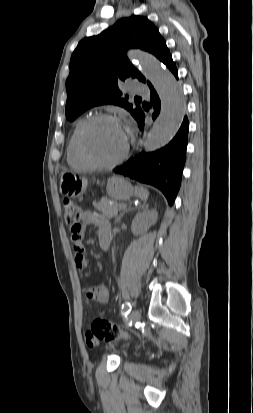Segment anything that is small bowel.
I'll return each instance as SVG.
<instances>
[{
  "label": "small bowel",
  "mask_w": 253,
  "mask_h": 413,
  "mask_svg": "<svg viewBox=\"0 0 253 413\" xmlns=\"http://www.w3.org/2000/svg\"><path fill=\"white\" fill-rule=\"evenodd\" d=\"M88 225H95L99 229V235L103 234H110V224L107 220V218L97 212V211H89L86 210L82 212L81 215V223L79 226L75 229H71L72 232V242L75 250V255H74V261L75 265L78 269H85L88 266V259L86 258L84 252H83V244H82V239H83V234L85 231V228ZM85 298L86 302H89L91 300H96L101 304H106L109 302V290L107 287L103 285H96V286H91L87 289L85 293ZM86 342L87 345L90 347H94L98 345L97 340H89L86 337Z\"/></svg>",
  "instance_id": "1"
}]
</instances>
